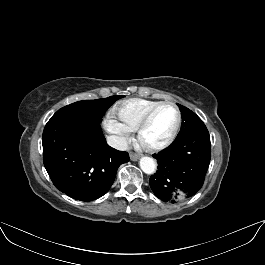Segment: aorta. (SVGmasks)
<instances>
[{
  "mask_svg": "<svg viewBox=\"0 0 265 265\" xmlns=\"http://www.w3.org/2000/svg\"><path fill=\"white\" fill-rule=\"evenodd\" d=\"M140 168L142 171L146 174H152L155 172L156 169V163L155 161L150 157H142L140 159Z\"/></svg>",
  "mask_w": 265,
  "mask_h": 265,
  "instance_id": "obj_1",
  "label": "aorta"
}]
</instances>
